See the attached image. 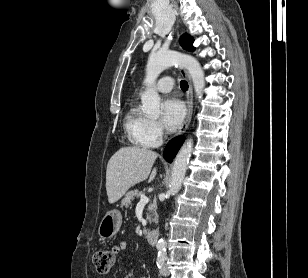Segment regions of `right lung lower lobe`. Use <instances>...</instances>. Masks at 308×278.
<instances>
[{
  "instance_id": "obj_1",
  "label": "right lung lower lobe",
  "mask_w": 308,
  "mask_h": 278,
  "mask_svg": "<svg viewBox=\"0 0 308 278\" xmlns=\"http://www.w3.org/2000/svg\"><path fill=\"white\" fill-rule=\"evenodd\" d=\"M182 143H183V138L176 137L167 144L166 149L164 150L163 153L166 161L170 163L172 162L173 158L177 154Z\"/></svg>"
}]
</instances>
